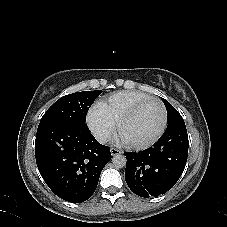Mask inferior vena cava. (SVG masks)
I'll return each instance as SVG.
<instances>
[{"mask_svg": "<svg viewBox=\"0 0 227 227\" xmlns=\"http://www.w3.org/2000/svg\"><path fill=\"white\" fill-rule=\"evenodd\" d=\"M95 138L99 143L105 144L109 141L110 136L107 133L100 132L95 134Z\"/></svg>", "mask_w": 227, "mask_h": 227, "instance_id": "1", "label": "inferior vena cava"}]
</instances>
